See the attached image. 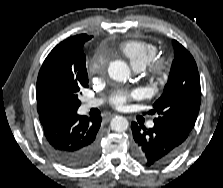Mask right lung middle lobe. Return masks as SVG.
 <instances>
[{
	"label": "right lung middle lobe",
	"instance_id": "right-lung-middle-lobe-1",
	"mask_svg": "<svg viewBox=\"0 0 223 188\" xmlns=\"http://www.w3.org/2000/svg\"><path fill=\"white\" fill-rule=\"evenodd\" d=\"M77 74L70 79L50 83L45 90V100L57 113L77 111L81 102L78 99L80 89L88 87V74L86 70V57L83 45L77 60Z\"/></svg>",
	"mask_w": 223,
	"mask_h": 188
}]
</instances>
